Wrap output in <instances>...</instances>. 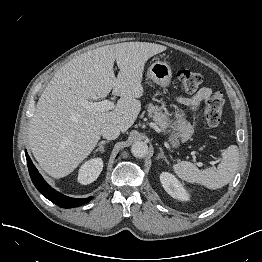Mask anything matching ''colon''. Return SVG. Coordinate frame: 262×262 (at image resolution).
I'll list each match as a JSON object with an SVG mask.
<instances>
[{"mask_svg": "<svg viewBox=\"0 0 262 262\" xmlns=\"http://www.w3.org/2000/svg\"><path fill=\"white\" fill-rule=\"evenodd\" d=\"M177 76L182 88L188 92L196 91L203 83L202 75L189 69L179 70ZM224 104L225 99L221 92L213 93L206 99L204 116L209 126L216 127L220 123Z\"/></svg>", "mask_w": 262, "mask_h": 262, "instance_id": "obj_1", "label": "colon"}]
</instances>
